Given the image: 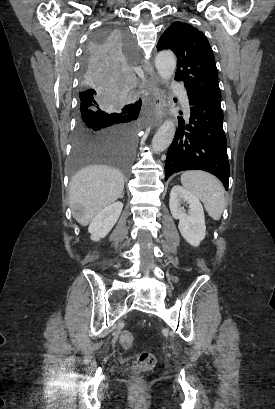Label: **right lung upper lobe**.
<instances>
[{
  "mask_svg": "<svg viewBox=\"0 0 275 409\" xmlns=\"http://www.w3.org/2000/svg\"><path fill=\"white\" fill-rule=\"evenodd\" d=\"M135 104H141V100H139L138 102H136Z\"/></svg>",
  "mask_w": 275,
  "mask_h": 409,
  "instance_id": "cb5924a9",
  "label": "right lung upper lobe"
}]
</instances>
